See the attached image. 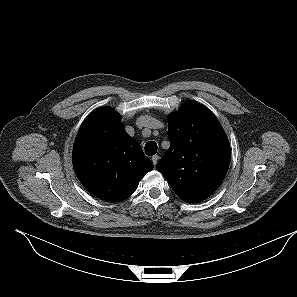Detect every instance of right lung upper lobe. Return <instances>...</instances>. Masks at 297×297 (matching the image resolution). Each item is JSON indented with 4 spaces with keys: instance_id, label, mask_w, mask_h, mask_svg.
Returning <instances> with one entry per match:
<instances>
[{
    "instance_id": "1",
    "label": "right lung upper lobe",
    "mask_w": 297,
    "mask_h": 297,
    "mask_svg": "<svg viewBox=\"0 0 297 297\" xmlns=\"http://www.w3.org/2000/svg\"><path fill=\"white\" fill-rule=\"evenodd\" d=\"M76 176L94 196L123 201L154 167L140 144L128 135L113 109L101 108L84 121L72 155Z\"/></svg>"
}]
</instances>
